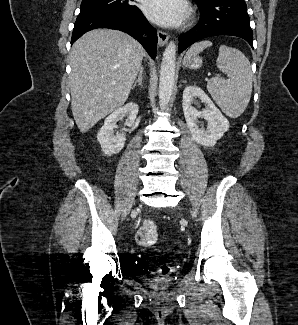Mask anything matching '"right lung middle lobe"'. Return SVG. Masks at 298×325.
Listing matches in <instances>:
<instances>
[{"instance_id":"dd1d6c3e","label":"right lung middle lobe","mask_w":298,"mask_h":325,"mask_svg":"<svg viewBox=\"0 0 298 325\" xmlns=\"http://www.w3.org/2000/svg\"><path fill=\"white\" fill-rule=\"evenodd\" d=\"M132 8H136V6L131 5L129 0H82L80 13Z\"/></svg>"}]
</instances>
